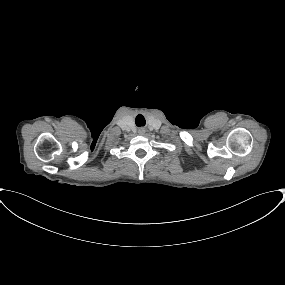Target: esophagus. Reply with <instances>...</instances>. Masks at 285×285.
<instances>
[{
	"instance_id": "1",
	"label": "esophagus",
	"mask_w": 285,
	"mask_h": 285,
	"mask_svg": "<svg viewBox=\"0 0 285 285\" xmlns=\"http://www.w3.org/2000/svg\"><path fill=\"white\" fill-rule=\"evenodd\" d=\"M145 133V129L144 128H140L138 130V134L143 135Z\"/></svg>"
}]
</instances>
